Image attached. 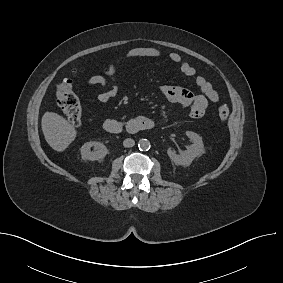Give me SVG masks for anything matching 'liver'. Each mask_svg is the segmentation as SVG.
I'll list each match as a JSON object with an SVG mask.
<instances>
[{
	"mask_svg": "<svg viewBox=\"0 0 283 283\" xmlns=\"http://www.w3.org/2000/svg\"><path fill=\"white\" fill-rule=\"evenodd\" d=\"M47 143L58 152L64 151L76 138V129L61 115L45 112L41 121Z\"/></svg>",
	"mask_w": 283,
	"mask_h": 283,
	"instance_id": "obj_1",
	"label": "liver"
}]
</instances>
